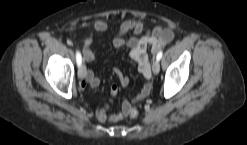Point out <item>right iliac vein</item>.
I'll return each mask as SVG.
<instances>
[{"mask_svg": "<svg viewBox=\"0 0 247 145\" xmlns=\"http://www.w3.org/2000/svg\"><path fill=\"white\" fill-rule=\"evenodd\" d=\"M86 76V67L85 64H82L78 70V77L84 79Z\"/></svg>", "mask_w": 247, "mask_h": 145, "instance_id": "1", "label": "right iliac vein"}]
</instances>
